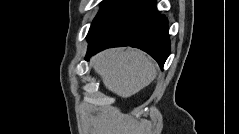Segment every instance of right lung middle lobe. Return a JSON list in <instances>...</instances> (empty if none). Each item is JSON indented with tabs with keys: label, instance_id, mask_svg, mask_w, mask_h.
I'll use <instances>...</instances> for the list:
<instances>
[{
	"label": "right lung middle lobe",
	"instance_id": "right-lung-middle-lobe-1",
	"mask_svg": "<svg viewBox=\"0 0 239 134\" xmlns=\"http://www.w3.org/2000/svg\"><path fill=\"white\" fill-rule=\"evenodd\" d=\"M127 0H107L94 18L87 37L92 35L113 13L121 8Z\"/></svg>",
	"mask_w": 239,
	"mask_h": 134
}]
</instances>
